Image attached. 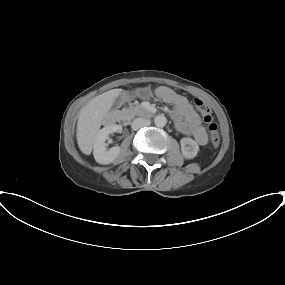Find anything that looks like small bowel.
Instances as JSON below:
<instances>
[{
	"label": "small bowel",
	"mask_w": 285,
	"mask_h": 285,
	"mask_svg": "<svg viewBox=\"0 0 285 285\" xmlns=\"http://www.w3.org/2000/svg\"><path fill=\"white\" fill-rule=\"evenodd\" d=\"M155 95L158 99L173 105L175 126L179 132L193 137L199 145L207 143V133L201 124L200 117L184 96L166 86L157 88Z\"/></svg>",
	"instance_id": "1"
}]
</instances>
